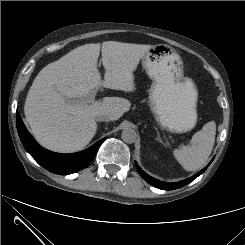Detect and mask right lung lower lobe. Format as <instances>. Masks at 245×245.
Here are the masks:
<instances>
[{"label":"right lung lower lobe","mask_w":245,"mask_h":245,"mask_svg":"<svg viewBox=\"0 0 245 245\" xmlns=\"http://www.w3.org/2000/svg\"><path fill=\"white\" fill-rule=\"evenodd\" d=\"M17 130L25 150L52 173L68 175L87 167L96 155L105 138L90 148L73 154H59L42 148L26 129L19 112H16Z\"/></svg>","instance_id":"obj_1"}]
</instances>
